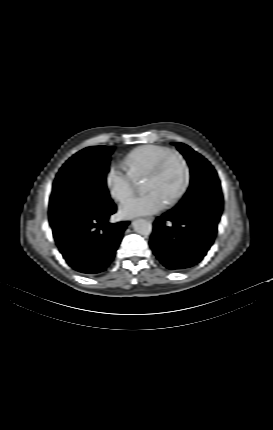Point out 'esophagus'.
I'll use <instances>...</instances> for the list:
<instances>
[{
    "label": "esophagus",
    "mask_w": 273,
    "mask_h": 430,
    "mask_svg": "<svg viewBox=\"0 0 273 430\" xmlns=\"http://www.w3.org/2000/svg\"><path fill=\"white\" fill-rule=\"evenodd\" d=\"M146 220H148L149 222H153L154 221V217H147Z\"/></svg>",
    "instance_id": "obj_1"
}]
</instances>
